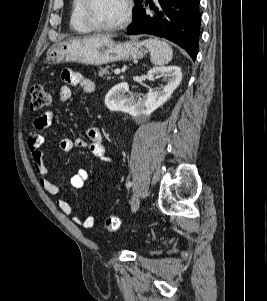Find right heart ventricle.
Wrapping results in <instances>:
<instances>
[{"label":"right heart ventricle","instance_id":"obj_1","mask_svg":"<svg viewBox=\"0 0 267 301\" xmlns=\"http://www.w3.org/2000/svg\"><path fill=\"white\" fill-rule=\"evenodd\" d=\"M84 0H72L70 13V26L78 33H90L94 29L91 28L83 16Z\"/></svg>","mask_w":267,"mask_h":301}]
</instances>
